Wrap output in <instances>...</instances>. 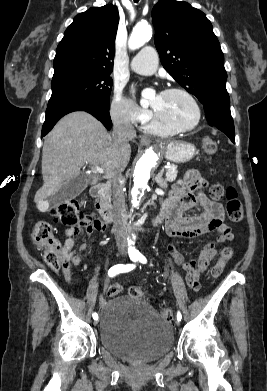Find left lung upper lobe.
I'll return each mask as SVG.
<instances>
[{"mask_svg":"<svg viewBox=\"0 0 267 391\" xmlns=\"http://www.w3.org/2000/svg\"><path fill=\"white\" fill-rule=\"evenodd\" d=\"M152 22L166 71L202 104L229 99L224 56L206 15L187 2L161 0L152 10Z\"/></svg>","mask_w":267,"mask_h":391,"instance_id":"1","label":"left lung upper lobe"}]
</instances>
